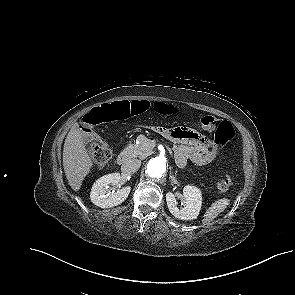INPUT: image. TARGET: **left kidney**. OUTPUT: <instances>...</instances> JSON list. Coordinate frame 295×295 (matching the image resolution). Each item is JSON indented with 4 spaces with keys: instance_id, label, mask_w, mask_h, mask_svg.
<instances>
[{
    "instance_id": "1",
    "label": "left kidney",
    "mask_w": 295,
    "mask_h": 295,
    "mask_svg": "<svg viewBox=\"0 0 295 295\" xmlns=\"http://www.w3.org/2000/svg\"><path fill=\"white\" fill-rule=\"evenodd\" d=\"M166 202L170 213L174 217L186 221L194 220L198 217L201 209L202 193L197 187L187 185L183 188V207H177L178 202L171 192L166 194Z\"/></svg>"
}]
</instances>
